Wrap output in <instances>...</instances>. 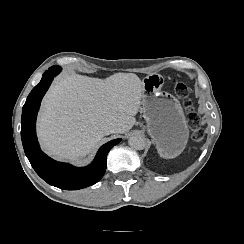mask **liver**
I'll list each match as a JSON object with an SVG mask.
<instances>
[{"label": "liver", "instance_id": "obj_1", "mask_svg": "<svg viewBox=\"0 0 244 244\" xmlns=\"http://www.w3.org/2000/svg\"><path fill=\"white\" fill-rule=\"evenodd\" d=\"M142 81L134 73L106 79L79 74L60 77L45 95L37 120L42 149L55 159L85 157L113 123L128 132L140 108Z\"/></svg>", "mask_w": 244, "mask_h": 244}]
</instances>
